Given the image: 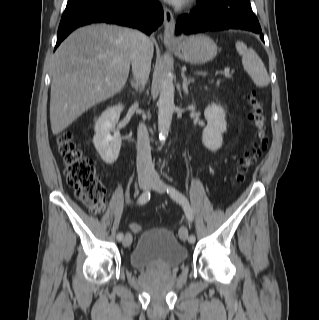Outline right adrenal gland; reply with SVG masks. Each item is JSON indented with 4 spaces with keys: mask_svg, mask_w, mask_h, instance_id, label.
I'll return each instance as SVG.
<instances>
[{
    "mask_svg": "<svg viewBox=\"0 0 319 320\" xmlns=\"http://www.w3.org/2000/svg\"><path fill=\"white\" fill-rule=\"evenodd\" d=\"M131 86L137 90V83L134 82L133 80H130Z\"/></svg>",
    "mask_w": 319,
    "mask_h": 320,
    "instance_id": "1",
    "label": "right adrenal gland"
}]
</instances>
